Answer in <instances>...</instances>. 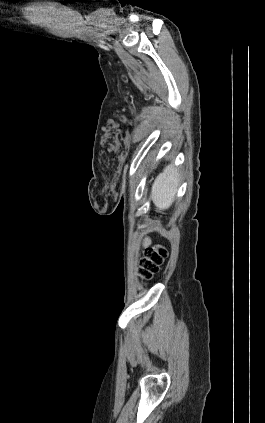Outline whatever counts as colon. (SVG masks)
Segmentation results:
<instances>
[{
	"instance_id": "1",
	"label": "colon",
	"mask_w": 265,
	"mask_h": 423,
	"mask_svg": "<svg viewBox=\"0 0 265 423\" xmlns=\"http://www.w3.org/2000/svg\"><path fill=\"white\" fill-rule=\"evenodd\" d=\"M168 257V250L163 245H155L146 250L145 256L140 260L138 275L143 280L151 279Z\"/></svg>"
}]
</instances>
